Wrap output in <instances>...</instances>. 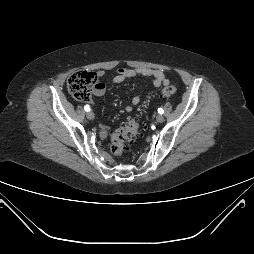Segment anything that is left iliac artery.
Masks as SVG:
<instances>
[{
    "label": "left iliac artery",
    "mask_w": 254,
    "mask_h": 254,
    "mask_svg": "<svg viewBox=\"0 0 254 254\" xmlns=\"http://www.w3.org/2000/svg\"><path fill=\"white\" fill-rule=\"evenodd\" d=\"M158 113L163 114V113H164V110H163L162 108H159V109H158Z\"/></svg>",
    "instance_id": "obj_1"
}]
</instances>
